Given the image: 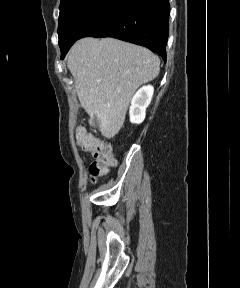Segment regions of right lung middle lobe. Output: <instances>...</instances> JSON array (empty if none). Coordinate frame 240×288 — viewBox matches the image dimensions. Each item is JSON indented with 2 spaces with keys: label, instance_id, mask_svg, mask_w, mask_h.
<instances>
[{
  "label": "right lung middle lobe",
  "instance_id": "obj_1",
  "mask_svg": "<svg viewBox=\"0 0 240 288\" xmlns=\"http://www.w3.org/2000/svg\"><path fill=\"white\" fill-rule=\"evenodd\" d=\"M114 0H61L59 15V46L61 51L80 39L84 30Z\"/></svg>",
  "mask_w": 240,
  "mask_h": 288
}]
</instances>
